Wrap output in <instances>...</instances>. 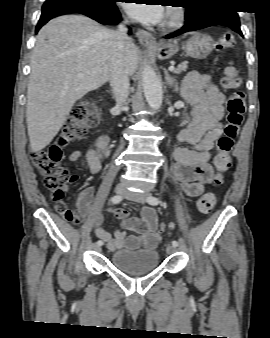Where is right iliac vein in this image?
Masks as SVG:
<instances>
[{"label":"right iliac vein","instance_id":"63e3f726","mask_svg":"<svg viewBox=\"0 0 270 338\" xmlns=\"http://www.w3.org/2000/svg\"><path fill=\"white\" fill-rule=\"evenodd\" d=\"M115 193L117 195H122L125 193V187L123 185H117L115 187ZM93 249L96 250V251H100L101 250V247L98 246V245H93Z\"/></svg>","mask_w":270,"mask_h":338}]
</instances>
